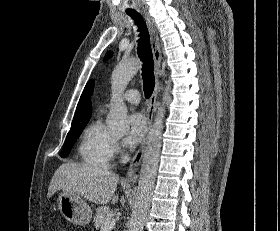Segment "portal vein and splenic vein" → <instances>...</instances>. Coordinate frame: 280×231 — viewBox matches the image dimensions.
Masks as SVG:
<instances>
[{
	"label": "portal vein and splenic vein",
	"mask_w": 280,
	"mask_h": 231,
	"mask_svg": "<svg viewBox=\"0 0 280 231\" xmlns=\"http://www.w3.org/2000/svg\"><path fill=\"white\" fill-rule=\"evenodd\" d=\"M116 219H105L104 223L101 225V231H110L115 225Z\"/></svg>",
	"instance_id": "portal-vein-and-splenic-vein-1"
}]
</instances>
